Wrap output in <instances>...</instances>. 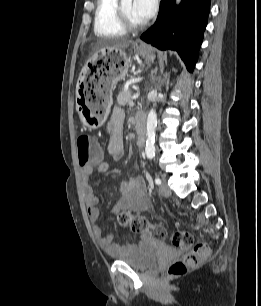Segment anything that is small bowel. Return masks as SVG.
Wrapping results in <instances>:
<instances>
[{"instance_id":"1","label":"small bowel","mask_w":261,"mask_h":306,"mask_svg":"<svg viewBox=\"0 0 261 306\" xmlns=\"http://www.w3.org/2000/svg\"><path fill=\"white\" fill-rule=\"evenodd\" d=\"M125 120V112L122 108L116 107L110 115L107 131L109 133V141L107 144V153L115 160L119 161L124 156L123 143V124ZM109 163L100 160L85 166L81 170V186L83 196L87 207V213L91 222L96 223L100 218V210L98 208L99 198L92 187V175L94 173L106 172ZM118 188L122 195L121 200L114 210H132L142 212L148 209L146 200V184L142 177L132 175L127 181L118 183ZM94 234L99 241L100 246L108 253L118 254L129 250L130 245H119L114 242L112 235H106L103 228L95 224L93 227Z\"/></svg>"}]
</instances>
